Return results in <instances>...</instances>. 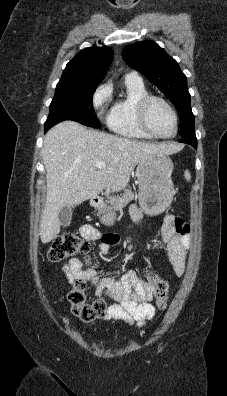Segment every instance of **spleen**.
<instances>
[{"mask_svg":"<svg viewBox=\"0 0 227 396\" xmlns=\"http://www.w3.org/2000/svg\"><path fill=\"white\" fill-rule=\"evenodd\" d=\"M184 177H185V179H186L187 181H190V180H191V174H190V172H189L188 170L185 171Z\"/></svg>","mask_w":227,"mask_h":396,"instance_id":"obj_1","label":"spleen"}]
</instances>
